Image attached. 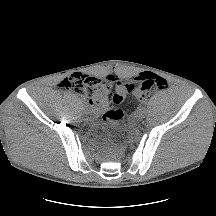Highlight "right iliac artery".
<instances>
[{
    "mask_svg": "<svg viewBox=\"0 0 216 216\" xmlns=\"http://www.w3.org/2000/svg\"><path fill=\"white\" fill-rule=\"evenodd\" d=\"M80 107L82 108L83 111L87 110L86 104L83 101L79 102Z\"/></svg>",
    "mask_w": 216,
    "mask_h": 216,
    "instance_id": "82829eb1",
    "label": "right iliac artery"
}]
</instances>
